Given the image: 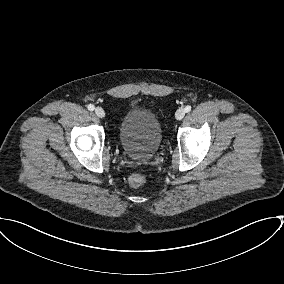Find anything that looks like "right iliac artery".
Returning <instances> with one entry per match:
<instances>
[{
    "label": "right iliac artery",
    "instance_id": "obj_1",
    "mask_svg": "<svg viewBox=\"0 0 284 284\" xmlns=\"http://www.w3.org/2000/svg\"><path fill=\"white\" fill-rule=\"evenodd\" d=\"M87 108H88V110L93 111V110H94V105L89 104V105L87 106Z\"/></svg>",
    "mask_w": 284,
    "mask_h": 284
}]
</instances>
